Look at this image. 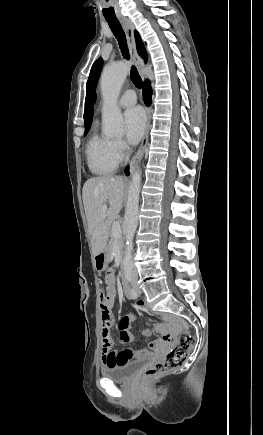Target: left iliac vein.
Returning a JSON list of instances; mask_svg holds the SVG:
<instances>
[{
	"label": "left iliac vein",
	"mask_w": 263,
	"mask_h": 435,
	"mask_svg": "<svg viewBox=\"0 0 263 435\" xmlns=\"http://www.w3.org/2000/svg\"><path fill=\"white\" fill-rule=\"evenodd\" d=\"M135 289H136V292H137L138 294H141V293H142L141 289H140L138 286H135Z\"/></svg>",
	"instance_id": "4c4485c4"
}]
</instances>
